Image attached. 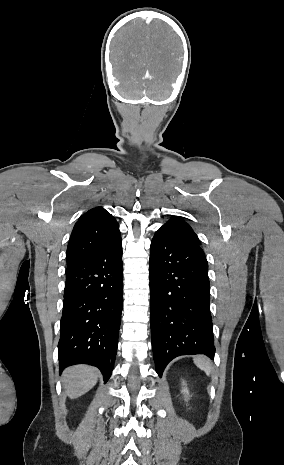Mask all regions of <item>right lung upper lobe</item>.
Masks as SVG:
<instances>
[{
	"instance_id": "right-lung-upper-lobe-1",
	"label": "right lung upper lobe",
	"mask_w": 284,
	"mask_h": 465,
	"mask_svg": "<svg viewBox=\"0 0 284 465\" xmlns=\"http://www.w3.org/2000/svg\"><path fill=\"white\" fill-rule=\"evenodd\" d=\"M120 238L119 224L102 207H95L76 222L67 247V267L107 249Z\"/></svg>"
}]
</instances>
